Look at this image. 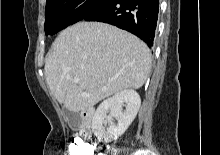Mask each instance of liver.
<instances>
[{
    "instance_id": "6515ba94",
    "label": "liver",
    "mask_w": 220,
    "mask_h": 155,
    "mask_svg": "<svg viewBox=\"0 0 220 155\" xmlns=\"http://www.w3.org/2000/svg\"><path fill=\"white\" fill-rule=\"evenodd\" d=\"M150 69L151 52L136 36L105 23L79 22L58 35L44 73L55 99L80 112L120 91L141 88Z\"/></svg>"
}]
</instances>
